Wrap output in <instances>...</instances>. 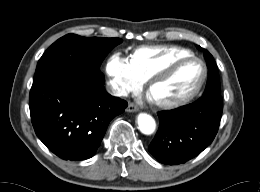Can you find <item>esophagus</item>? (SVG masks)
<instances>
[{"instance_id": "34e87169", "label": "esophagus", "mask_w": 260, "mask_h": 192, "mask_svg": "<svg viewBox=\"0 0 260 192\" xmlns=\"http://www.w3.org/2000/svg\"><path fill=\"white\" fill-rule=\"evenodd\" d=\"M138 110H139V108H138V106L135 103H133V102L129 103L127 111H129V112H136Z\"/></svg>"}]
</instances>
